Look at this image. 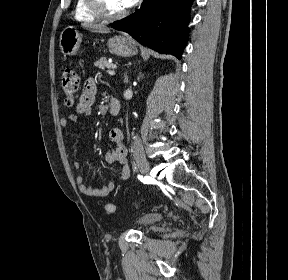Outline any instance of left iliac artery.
Returning a JSON list of instances; mask_svg holds the SVG:
<instances>
[{
    "label": "left iliac artery",
    "mask_w": 288,
    "mask_h": 280,
    "mask_svg": "<svg viewBox=\"0 0 288 280\" xmlns=\"http://www.w3.org/2000/svg\"><path fill=\"white\" fill-rule=\"evenodd\" d=\"M136 179H138V181H143V174H136Z\"/></svg>",
    "instance_id": "obj_1"
}]
</instances>
